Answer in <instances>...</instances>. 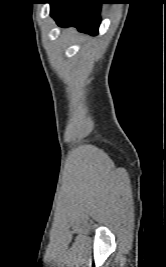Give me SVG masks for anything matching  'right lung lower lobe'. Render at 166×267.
Instances as JSON below:
<instances>
[{"label":"right lung lower lobe","mask_w":166,"mask_h":267,"mask_svg":"<svg viewBox=\"0 0 166 267\" xmlns=\"http://www.w3.org/2000/svg\"><path fill=\"white\" fill-rule=\"evenodd\" d=\"M102 3L105 1L54 0L50 2V14L59 26H74L81 32L97 35L100 24V4Z\"/></svg>","instance_id":"98d812e1"}]
</instances>
